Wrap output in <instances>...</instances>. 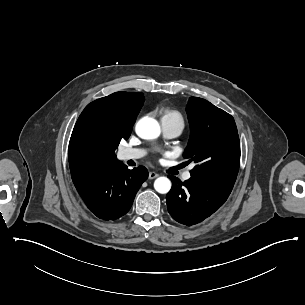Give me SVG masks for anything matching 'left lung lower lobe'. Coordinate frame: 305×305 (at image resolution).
Instances as JSON below:
<instances>
[{
	"mask_svg": "<svg viewBox=\"0 0 305 305\" xmlns=\"http://www.w3.org/2000/svg\"><path fill=\"white\" fill-rule=\"evenodd\" d=\"M172 188L166 196L169 214L177 222L192 226L220 208L230 195L231 186L190 178L184 182L168 176Z\"/></svg>",
	"mask_w": 305,
	"mask_h": 305,
	"instance_id": "1",
	"label": "left lung lower lobe"
}]
</instances>
